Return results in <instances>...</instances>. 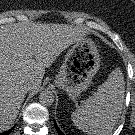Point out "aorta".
<instances>
[{
	"label": "aorta",
	"instance_id": "762f6f07",
	"mask_svg": "<svg viewBox=\"0 0 135 135\" xmlns=\"http://www.w3.org/2000/svg\"><path fill=\"white\" fill-rule=\"evenodd\" d=\"M54 100V94L51 91H42L39 95V101L42 105L50 106Z\"/></svg>",
	"mask_w": 135,
	"mask_h": 135
}]
</instances>
